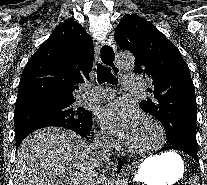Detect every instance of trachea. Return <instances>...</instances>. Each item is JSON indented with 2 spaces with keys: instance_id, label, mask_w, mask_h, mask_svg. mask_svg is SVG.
<instances>
[{
  "instance_id": "trachea-1",
  "label": "trachea",
  "mask_w": 207,
  "mask_h": 185,
  "mask_svg": "<svg viewBox=\"0 0 207 185\" xmlns=\"http://www.w3.org/2000/svg\"><path fill=\"white\" fill-rule=\"evenodd\" d=\"M113 53L114 52L111 47H108L107 45L102 47L101 49L102 61L105 64H107L108 55H112ZM97 77L99 83L108 82V83H112L113 85L117 83V80L114 77V75L111 73V70L108 67H104L103 65H101V63H99V65L97 66Z\"/></svg>"
}]
</instances>
